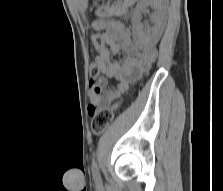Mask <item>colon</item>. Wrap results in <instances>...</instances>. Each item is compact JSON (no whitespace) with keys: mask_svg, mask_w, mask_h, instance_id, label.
Masks as SVG:
<instances>
[{"mask_svg":"<svg viewBox=\"0 0 223 191\" xmlns=\"http://www.w3.org/2000/svg\"><path fill=\"white\" fill-rule=\"evenodd\" d=\"M93 43L99 54L105 51V44L102 36L100 34H95L93 36ZM99 63L93 62L90 66V76L92 79L99 77ZM122 107L121 101H115L110 107L102 108L99 110H95L92 108L91 111H94L93 119H92V130L95 134L103 133L110 123L113 121L116 114L120 111Z\"/></svg>","mask_w":223,"mask_h":191,"instance_id":"obj_1","label":"colon"}]
</instances>
